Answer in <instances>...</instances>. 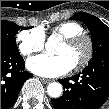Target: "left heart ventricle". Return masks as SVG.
<instances>
[{"label":"left heart ventricle","mask_w":109,"mask_h":109,"mask_svg":"<svg viewBox=\"0 0 109 109\" xmlns=\"http://www.w3.org/2000/svg\"><path fill=\"white\" fill-rule=\"evenodd\" d=\"M86 51L87 45L84 41H81L72 46L62 42L57 50V54L67 56V58L75 66L84 58Z\"/></svg>","instance_id":"left-heart-ventricle-1"}]
</instances>
